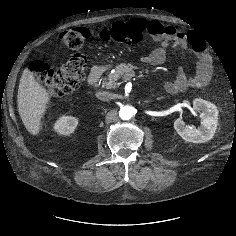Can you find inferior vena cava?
I'll return each mask as SVG.
<instances>
[{"label":"inferior vena cava","mask_w":236,"mask_h":236,"mask_svg":"<svg viewBox=\"0 0 236 236\" xmlns=\"http://www.w3.org/2000/svg\"><path fill=\"white\" fill-rule=\"evenodd\" d=\"M96 97L102 101H110L113 99V94L108 91H101L96 93Z\"/></svg>","instance_id":"602c4592"}]
</instances>
